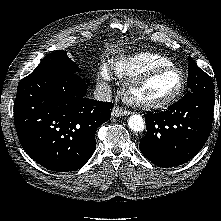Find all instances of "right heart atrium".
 Masks as SVG:
<instances>
[{
	"mask_svg": "<svg viewBox=\"0 0 221 221\" xmlns=\"http://www.w3.org/2000/svg\"><path fill=\"white\" fill-rule=\"evenodd\" d=\"M98 77L101 82H106L110 80V70L106 64L101 65L98 71Z\"/></svg>",
	"mask_w": 221,
	"mask_h": 221,
	"instance_id": "d8ad5b80",
	"label": "right heart atrium"
}]
</instances>
